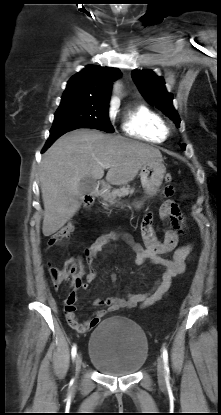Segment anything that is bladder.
<instances>
[{
    "label": "bladder",
    "instance_id": "bladder-1",
    "mask_svg": "<svg viewBox=\"0 0 221 415\" xmlns=\"http://www.w3.org/2000/svg\"><path fill=\"white\" fill-rule=\"evenodd\" d=\"M144 331L131 319L122 316L101 322L89 338V360L101 373L127 376L136 373L148 356Z\"/></svg>",
    "mask_w": 221,
    "mask_h": 415
}]
</instances>
